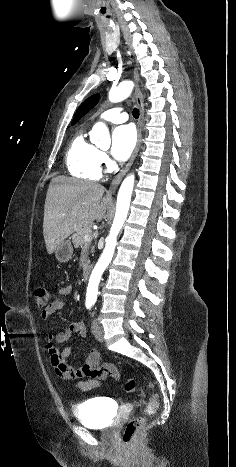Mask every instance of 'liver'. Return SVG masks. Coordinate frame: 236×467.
Instances as JSON below:
<instances>
[{
	"label": "liver",
	"mask_w": 236,
	"mask_h": 467,
	"mask_svg": "<svg viewBox=\"0 0 236 467\" xmlns=\"http://www.w3.org/2000/svg\"><path fill=\"white\" fill-rule=\"evenodd\" d=\"M105 188L94 182L58 176L52 179L44 205L43 235L48 254L73 232L100 222L109 203Z\"/></svg>",
	"instance_id": "1"
}]
</instances>
